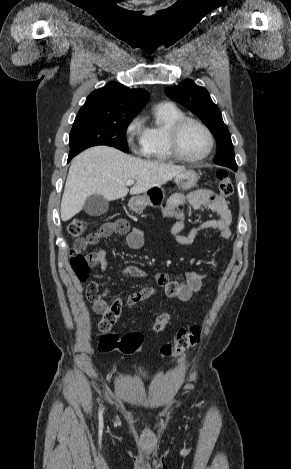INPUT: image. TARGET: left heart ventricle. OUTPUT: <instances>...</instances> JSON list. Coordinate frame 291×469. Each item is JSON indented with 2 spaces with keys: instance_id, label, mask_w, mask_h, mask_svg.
Instances as JSON below:
<instances>
[{
  "instance_id": "obj_1",
  "label": "left heart ventricle",
  "mask_w": 291,
  "mask_h": 469,
  "mask_svg": "<svg viewBox=\"0 0 291 469\" xmlns=\"http://www.w3.org/2000/svg\"><path fill=\"white\" fill-rule=\"evenodd\" d=\"M182 153L189 158L203 155L208 148V138L204 130L194 123H188L180 136Z\"/></svg>"
}]
</instances>
